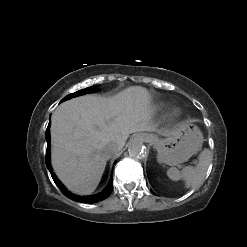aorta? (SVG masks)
<instances>
[{
	"instance_id": "aorta-1",
	"label": "aorta",
	"mask_w": 247,
	"mask_h": 247,
	"mask_svg": "<svg viewBox=\"0 0 247 247\" xmlns=\"http://www.w3.org/2000/svg\"><path fill=\"white\" fill-rule=\"evenodd\" d=\"M129 155L133 158H142L144 156V145L139 140H133L128 147Z\"/></svg>"
}]
</instances>
